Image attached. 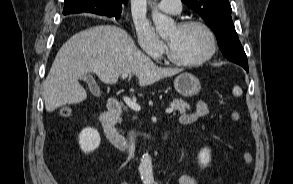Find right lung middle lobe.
<instances>
[{"mask_svg":"<svg viewBox=\"0 0 293 184\" xmlns=\"http://www.w3.org/2000/svg\"><path fill=\"white\" fill-rule=\"evenodd\" d=\"M102 15H106L108 17H113L115 19H119L121 12H119V11H112V12L105 11L102 13Z\"/></svg>","mask_w":293,"mask_h":184,"instance_id":"1","label":"right lung middle lobe"}]
</instances>
